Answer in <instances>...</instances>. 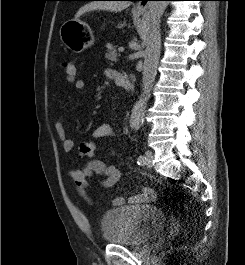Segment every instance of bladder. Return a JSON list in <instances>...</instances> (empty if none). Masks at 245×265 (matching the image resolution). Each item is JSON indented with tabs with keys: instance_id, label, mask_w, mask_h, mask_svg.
<instances>
[{
	"instance_id": "bladder-1",
	"label": "bladder",
	"mask_w": 245,
	"mask_h": 265,
	"mask_svg": "<svg viewBox=\"0 0 245 265\" xmlns=\"http://www.w3.org/2000/svg\"><path fill=\"white\" fill-rule=\"evenodd\" d=\"M166 221V215L156 206H122L105 212L100 222L101 236L109 244L138 247L151 241Z\"/></svg>"
}]
</instances>
